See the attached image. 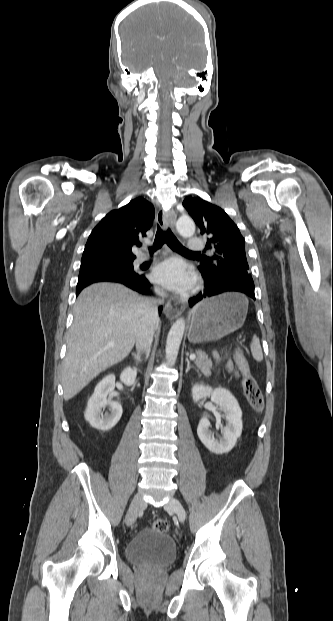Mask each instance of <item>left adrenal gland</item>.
Segmentation results:
<instances>
[{
  "instance_id": "obj_1",
  "label": "left adrenal gland",
  "mask_w": 333,
  "mask_h": 621,
  "mask_svg": "<svg viewBox=\"0 0 333 621\" xmlns=\"http://www.w3.org/2000/svg\"><path fill=\"white\" fill-rule=\"evenodd\" d=\"M186 362H187V368H186V374L189 372L190 369H194L198 374H200V371L195 368L193 365H190V361L188 358H186Z\"/></svg>"
}]
</instances>
